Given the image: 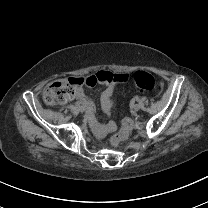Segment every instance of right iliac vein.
Here are the masks:
<instances>
[{
    "instance_id": "1",
    "label": "right iliac vein",
    "mask_w": 208,
    "mask_h": 208,
    "mask_svg": "<svg viewBox=\"0 0 208 208\" xmlns=\"http://www.w3.org/2000/svg\"><path fill=\"white\" fill-rule=\"evenodd\" d=\"M79 111H80L81 113H83V112L85 111V108H84L83 106H81V107H79Z\"/></svg>"
}]
</instances>
